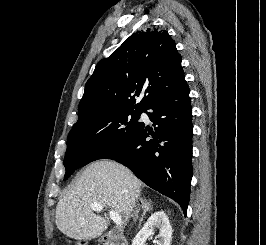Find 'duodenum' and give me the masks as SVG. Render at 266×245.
I'll return each instance as SVG.
<instances>
[{"instance_id": "1", "label": "duodenum", "mask_w": 266, "mask_h": 245, "mask_svg": "<svg viewBox=\"0 0 266 245\" xmlns=\"http://www.w3.org/2000/svg\"><path fill=\"white\" fill-rule=\"evenodd\" d=\"M103 245H126L120 235L109 233L108 238L103 242Z\"/></svg>"}]
</instances>
